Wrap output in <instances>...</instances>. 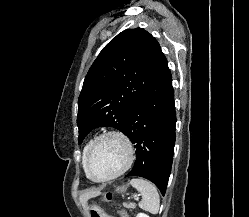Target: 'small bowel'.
Here are the masks:
<instances>
[{"label": "small bowel", "mask_w": 249, "mask_h": 217, "mask_svg": "<svg viewBox=\"0 0 249 217\" xmlns=\"http://www.w3.org/2000/svg\"><path fill=\"white\" fill-rule=\"evenodd\" d=\"M105 217H113V216H109V215H107V216H105Z\"/></svg>", "instance_id": "obj_1"}]
</instances>
